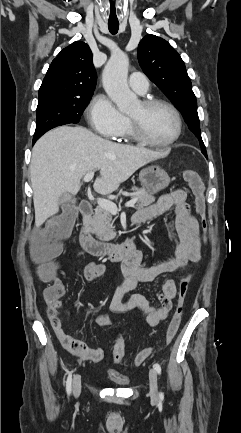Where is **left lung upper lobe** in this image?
I'll use <instances>...</instances> for the list:
<instances>
[{
    "instance_id": "left-lung-upper-lobe-1",
    "label": "left lung upper lobe",
    "mask_w": 241,
    "mask_h": 433,
    "mask_svg": "<svg viewBox=\"0 0 241 433\" xmlns=\"http://www.w3.org/2000/svg\"><path fill=\"white\" fill-rule=\"evenodd\" d=\"M138 60L148 78L180 109L189 129L199 139L202 153L206 154L196 97L178 52L166 40L149 34L138 45Z\"/></svg>"
}]
</instances>
